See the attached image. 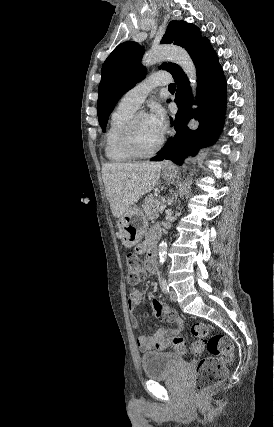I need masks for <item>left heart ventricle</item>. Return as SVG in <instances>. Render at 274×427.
I'll return each mask as SVG.
<instances>
[{
    "label": "left heart ventricle",
    "mask_w": 274,
    "mask_h": 427,
    "mask_svg": "<svg viewBox=\"0 0 274 427\" xmlns=\"http://www.w3.org/2000/svg\"><path fill=\"white\" fill-rule=\"evenodd\" d=\"M162 136L158 135L150 126L146 114H142L136 125L135 144L136 148L141 153H147L153 150Z\"/></svg>",
    "instance_id": "b2bd125f"
}]
</instances>
